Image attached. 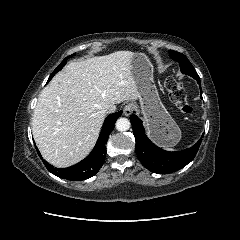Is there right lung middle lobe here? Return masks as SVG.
I'll return each instance as SVG.
<instances>
[{
  "label": "right lung middle lobe",
  "mask_w": 240,
  "mask_h": 240,
  "mask_svg": "<svg viewBox=\"0 0 240 240\" xmlns=\"http://www.w3.org/2000/svg\"><path fill=\"white\" fill-rule=\"evenodd\" d=\"M72 56H74V54L66 57V58L62 61V63H61V64L53 71V73L50 75L48 81L51 80L52 77H53L58 71H60V70L62 69V67L67 63V58H70V57H72Z\"/></svg>",
  "instance_id": "1"
}]
</instances>
